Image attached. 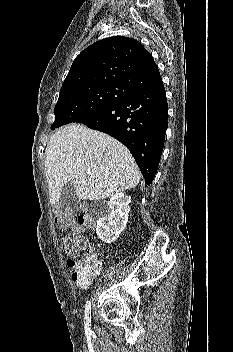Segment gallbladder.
Returning <instances> with one entry per match:
<instances>
[{
  "label": "gallbladder",
  "mask_w": 233,
  "mask_h": 352,
  "mask_svg": "<svg viewBox=\"0 0 233 352\" xmlns=\"http://www.w3.org/2000/svg\"><path fill=\"white\" fill-rule=\"evenodd\" d=\"M59 207L64 213L70 216L80 210L79 200L73 183L69 182L64 185L59 200Z\"/></svg>",
  "instance_id": "1"
}]
</instances>
